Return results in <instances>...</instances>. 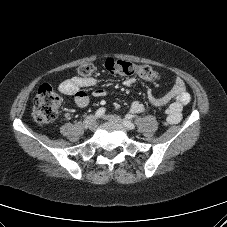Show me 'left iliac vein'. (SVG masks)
<instances>
[{"mask_svg": "<svg viewBox=\"0 0 227 227\" xmlns=\"http://www.w3.org/2000/svg\"><path fill=\"white\" fill-rule=\"evenodd\" d=\"M105 118L111 122L119 124L125 130H129V128L125 125L124 121L120 117H118L116 115H106Z\"/></svg>", "mask_w": 227, "mask_h": 227, "instance_id": "1", "label": "left iliac vein"}]
</instances>
